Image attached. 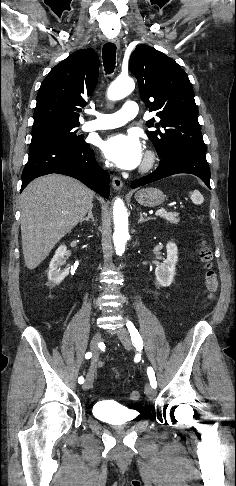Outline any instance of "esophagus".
Listing matches in <instances>:
<instances>
[{"instance_id": "34e87169", "label": "esophagus", "mask_w": 236, "mask_h": 486, "mask_svg": "<svg viewBox=\"0 0 236 486\" xmlns=\"http://www.w3.org/2000/svg\"><path fill=\"white\" fill-rule=\"evenodd\" d=\"M112 43H114L117 48L120 47V40L119 38L115 37L110 40ZM112 185L115 190H120L123 187V182L119 177H113L112 178Z\"/></svg>"}]
</instances>
